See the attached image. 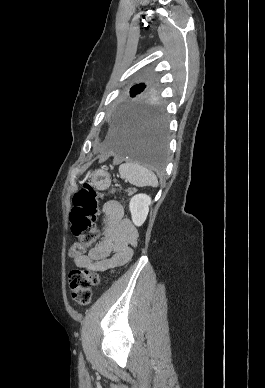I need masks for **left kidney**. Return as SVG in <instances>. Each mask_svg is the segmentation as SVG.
<instances>
[{
	"instance_id": "1",
	"label": "left kidney",
	"mask_w": 265,
	"mask_h": 388,
	"mask_svg": "<svg viewBox=\"0 0 265 388\" xmlns=\"http://www.w3.org/2000/svg\"><path fill=\"white\" fill-rule=\"evenodd\" d=\"M151 204V198L146 194H137L130 200L129 210L132 216V222L135 226H142L144 224Z\"/></svg>"
}]
</instances>
